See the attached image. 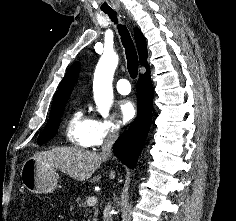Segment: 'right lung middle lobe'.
I'll use <instances>...</instances> for the list:
<instances>
[{
	"label": "right lung middle lobe",
	"instance_id": "obj_1",
	"mask_svg": "<svg viewBox=\"0 0 236 221\" xmlns=\"http://www.w3.org/2000/svg\"><path fill=\"white\" fill-rule=\"evenodd\" d=\"M65 104L66 102L52 107L49 120L41 135L38 137V144H44L56 135L60 123V117L65 109Z\"/></svg>",
	"mask_w": 236,
	"mask_h": 221
}]
</instances>
